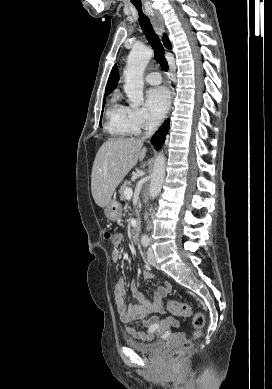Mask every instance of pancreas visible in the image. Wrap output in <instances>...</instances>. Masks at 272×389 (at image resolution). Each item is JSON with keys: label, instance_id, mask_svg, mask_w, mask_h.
Listing matches in <instances>:
<instances>
[{"label": "pancreas", "instance_id": "pancreas-1", "mask_svg": "<svg viewBox=\"0 0 272 389\" xmlns=\"http://www.w3.org/2000/svg\"><path fill=\"white\" fill-rule=\"evenodd\" d=\"M131 184L130 181H126L122 184V186L120 187V190H119V193L121 195V199L122 200H125L126 196H125V189L128 188V186Z\"/></svg>", "mask_w": 272, "mask_h": 389}]
</instances>
